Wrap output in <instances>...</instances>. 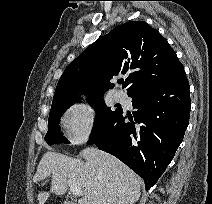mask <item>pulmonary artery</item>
<instances>
[{
	"label": "pulmonary artery",
	"instance_id": "obj_1",
	"mask_svg": "<svg viewBox=\"0 0 212 204\" xmlns=\"http://www.w3.org/2000/svg\"><path fill=\"white\" fill-rule=\"evenodd\" d=\"M125 98H126V96H125V93L124 92H122L120 90L115 91V93H114V99H115V101L121 102V101H124Z\"/></svg>",
	"mask_w": 212,
	"mask_h": 204
}]
</instances>
